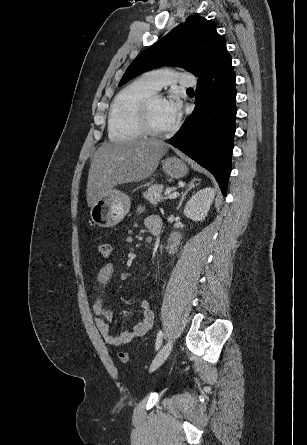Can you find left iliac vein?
<instances>
[{"instance_id":"1","label":"left iliac vein","mask_w":307,"mask_h":445,"mask_svg":"<svg viewBox=\"0 0 307 445\" xmlns=\"http://www.w3.org/2000/svg\"><path fill=\"white\" fill-rule=\"evenodd\" d=\"M173 347V341L169 340L166 344L163 345V347L160 349L156 357L154 358L151 366L150 371L156 370L160 365L164 363V361L169 356L171 350Z\"/></svg>"}]
</instances>
